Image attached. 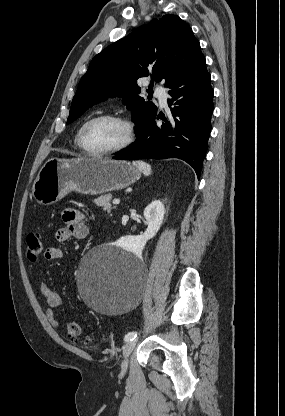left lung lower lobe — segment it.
<instances>
[{
    "label": "left lung lower lobe",
    "mask_w": 285,
    "mask_h": 416,
    "mask_svg": "<svg viewBox=\"0 0 285 416\" xmlns=\"http://www.w3.org/2000/svg\"><path fill=\"white\" fill-rule=\"evenodd\" d=\"M168 100L173 117L161 127L155 118L138 133L133 145L116 153L114 159L179 158L191 165L198 179L208 147L213 113V89L204 56L171 86ZM159 116H157V119Z\"/></svg>",
    "instance_id": "left-lung-lower-lobe-1"
}]
</instances>
